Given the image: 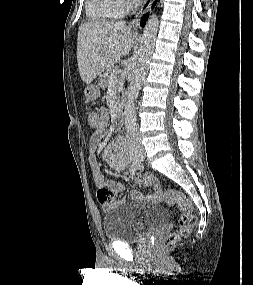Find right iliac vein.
Instances as JSON below:
<instances>
[{
	"label": "right iliac vein",
	"mask_w": 253,
	"mask_h": 285,
	"mask_svg": "<svg viewBox=\"0 0 253 285\" xmlns=\"http://www.w3.org/2000/svg\"><path fill=\"white\" fill-rule=\"evenodd\" d=\"M134 155H135L136 159H138V160L142 159V152L140 151V149L136 148L134 151Z\"/></svg>",
	"instance_id": "right-iliac-vein-1"
}]
</instances>
